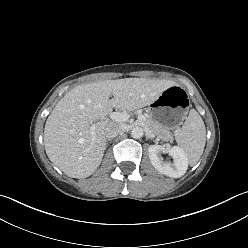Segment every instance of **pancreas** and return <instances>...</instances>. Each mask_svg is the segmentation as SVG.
<instances>
[{"instance_id": "cf45deb5", "label": "pancreas", "mask_w": 248, "mask_h": 248, "mask_svg": "<svg viewBox=\"0 0 248 248\" xmlns=\"http://www.w3.org/2000/svg\"><path fill=\"white\" fill-rule=\"evenodd\" d=\"M142 115V114H141ZM145 125L150 129V131L161 140H171L172 135L169 130L160 124L156 123L150 118L144 120Z\"/></svg>"}]
</instances>
